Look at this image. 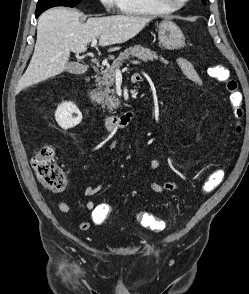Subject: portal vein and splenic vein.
<instances>
[{
	"label": "portal vein and splenic vein",
	"instance_id": "portal-vein-and-splenic-vein-1",
	"mask_svg": "<svg viewBox=\"0 0 249 294\" xmlns=\"http://www.w3.org/2000/svg\"><path fill=\"white\" fill-rule=\"evenodd\" d=\"M96 44H97V39H93V40H92L91 47H95ZM132 63H133V64H138L139 62H137V61H133ZM116 74H121V71L118 69V70L116 71Z\"/></svg>",
	"mask_w": 249,
	"mask_h": 294
}]
</instances>
